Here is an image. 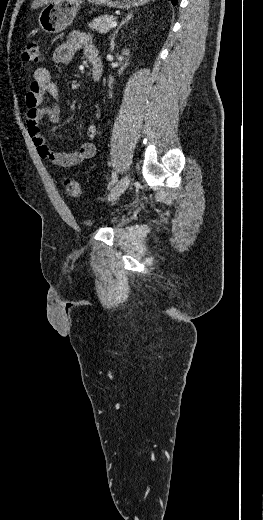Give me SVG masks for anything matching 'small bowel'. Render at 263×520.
<instances>
[{
    "label": "small bowel",
    "mask_w": 263,
    "mask_h": 520,
    "mask_svg": "<svg viewBox=\"0 0 263 520\" xmlns=\"http://www.w3.org/2000/svg\"><path fill=\"white\" fill-rule=\"evenodd\" d=\"M84 48L88 57L96 48L89 43L87 35L74 32L66 42L60 44L54 51L53 60L57 64H68L72 61L76 51ZM58 87L52 80L51 73L44 67H39L34 71L33 81L26 94V126L28 133L36 147L39 156L63 168L75 167L85 160L95 155V146L92 142H84L76 151L58 152L54 151L49 145L47 138L42 134L40 124L43 119H47L51 124L59 121V109L56 105H46L45 97L50 95L54 98L58 96ZM87 137L92 140L97 134L95 124H89L86 130Z\"/></svg>",
    "instance_id": "small-bowel-1"
}]
</instances>
